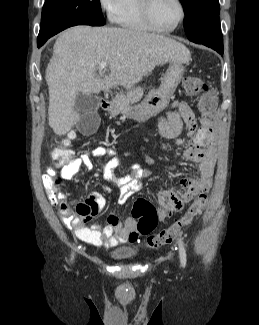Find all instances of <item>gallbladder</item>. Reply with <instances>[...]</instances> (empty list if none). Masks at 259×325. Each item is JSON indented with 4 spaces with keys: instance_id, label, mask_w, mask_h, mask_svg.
<instances>
[{
    "instance_id": "obj_1",
    "label": "gallbladder",
    "mask_w": 259,
    "mask_h": 325,
    "mask_svg": "<svg viewBox=\"0 0 259 325\" xmlns=\"http://www.w3.org/2000/svg\"><path fill=\"white\" fill-rule=\"evenodd\" d=\"M75 110L83 112L84 115L77 124L78 130L82 136H93L94 131L100 125V117L97 113L98 98L97 96L90 94L84 95L79 93L75 102Z\"/></svg>"
}]
</instances>
